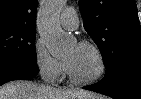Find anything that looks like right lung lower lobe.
<instances>
[{"label":"right lung lower lobe","mask_w":141,"mask_h":99,"mask_svg":"<svg viewBox=\"0 0 141 99\" xmlns=\"http://www.w3.org/2000/svg\"><path fill=\"white\" fill-rule=\"evenodd\" d=\"M39 72L37 65L9 63L0 65V86L8 81L28 79Z\"/></svg>","instance_id":"1"}]
</instances>
